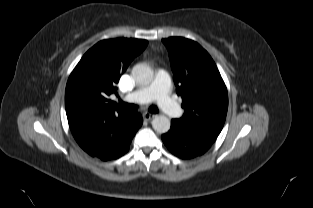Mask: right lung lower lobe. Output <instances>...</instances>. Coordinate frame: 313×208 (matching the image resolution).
<instances>
[{"instance_id":"obj_1","label":"right lung lower lobe","mask_w":313,"mask_h":208,"mask_svg":"<svg viewBox=\"0 0 313 208\" xmlns=\"http://www.w3.org/2000/svg\"><path fill=\"white\" fill-rule=\"evenodd\" d=\"M72 134L92 157L107 161L125 154L132 138L142 125L141 116L136 112L126 115L82 117L68 120Z\"/></svg>"}]
</instances>
